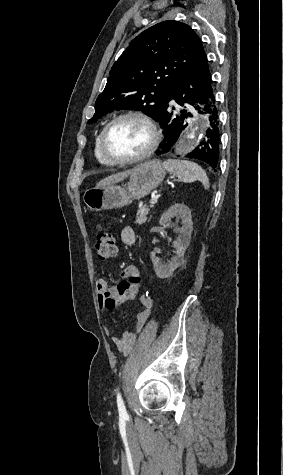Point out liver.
Masks as SVG:
<instances>
[{"mask_svg":"<svg viewBox=\"0 0 283 475\" xmlns=\"http://www.w3.org/2000/svg\"><path fill=\"white\" fill-rule=\"evenodd\" d=\"M133 170H126V172H119V174H112V176H108V178H104L101 182L96 184V188H104V186H112V184H118V182H122L125 178L130 176Z\"/></svg>","mask_w":283,"mask_h":475,"instance_id":"1","label":"liver"}]
</instances>
